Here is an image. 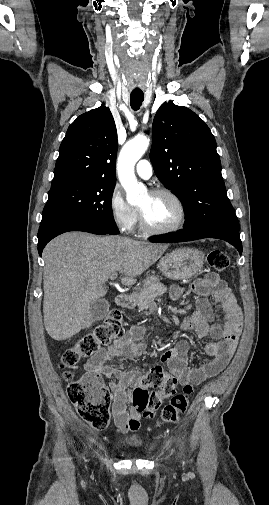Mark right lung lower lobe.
Segmentation results:
<instances>
[{"instance_id":"98d812e1","label":"right lung lower lobe","mask_w":269,"mask_h":505,"mask_svg":"<svg viewBox=\"0 0 269 505\" xmlns=\"http://www.w3.org/2000/svg\"><path fill=\"white\" fill-rule=\"evenodd\" d=\"M68 231H84L93 234L105 235L106 231L83 222L69 219H53L40 224L38 232V252L42 255L45 245L54 237Z\"/></svg>"}]
</instances>
